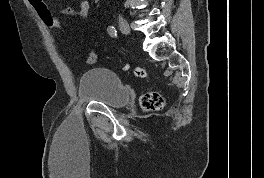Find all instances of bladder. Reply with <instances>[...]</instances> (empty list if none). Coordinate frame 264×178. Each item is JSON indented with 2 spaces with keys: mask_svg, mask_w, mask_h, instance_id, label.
<instances>
[{
  "mask_svg": "<svg viewBox=\"0 0 264 178\" xmlns=\"http://www.w3.org/2000/svg\"><path fill=\"white\" fill-rule=\"evenodd\" d=\"M79 97L104 103L110 107H123L130 100V92L118 75L108 68H92L79 80Z\"/></svg>",
  "mask_w": 264,
  "mask_h": 178,
  "instance_id": "31cf9c89",
  "label": "bladder"
}]
</instances>
